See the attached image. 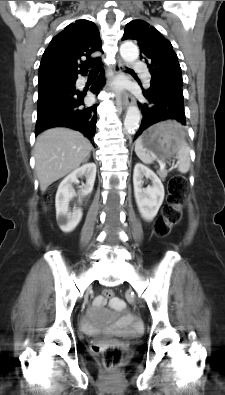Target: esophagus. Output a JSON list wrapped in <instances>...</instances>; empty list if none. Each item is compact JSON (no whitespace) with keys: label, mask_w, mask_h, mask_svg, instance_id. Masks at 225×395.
Wrapping results in <instances>:
<instances>
[{"label":"esophagus","mask_w":225,"mask_h":395,"mask_svg":"<svg viewBox=\"0 0 225 395\" xmlns=\"http://www.w3.org/2000/svg\"><path fill=\"white\" fill-rule=\"evenodd\" d=\"M124 70H125V66L123 61L121 59H118L117 63L114 65V74L119 75ZM132 101H133V97L126 92L117 95V103L122 105L124 108L127 107Z\"/></svg>","instance_id":"obj_1"}]
</instances>
